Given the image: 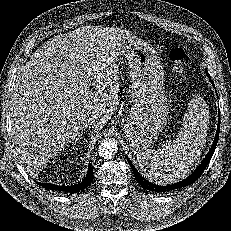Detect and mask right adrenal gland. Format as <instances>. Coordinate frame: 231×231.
I'll return each mask as SVG.
<instances>
[{"instance_id":"obj_1","label":"right adrenal gland","mask_w":231,"mask_h":231,"mask_svg":"<svg viewBox=\"0 0 231 231\" xmlns=\"http://www.w3.org/2000/svg\"><path fill=\"white\" fill-rule=\"evenodd\" d=\"M82 135H83V131H81V132L78 134L77 138L75 139V142H73V145H75L76 143L79 142V140H80V138L82 137Z\"/></svg>"}]
</instances>
